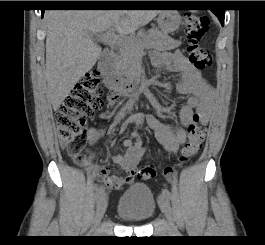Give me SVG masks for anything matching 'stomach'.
Segmentation results:
<instances>
[{
  "label": "stomach",
  "instance_id": "stomach-1",
  "mask_svg": "<svg viewBox=\"0 0 265 245\" xmlns=\"http://www.w3.org/2000/svg\"><path fill=\"white\" fill-rule=\"evenodd\" d=\"M158 27L164 34L172 33L181 24V16L177 11H162L157 19Z\"/></svg>",
  "mask_w": 265,
  "mask_h": 245
}]
</instances>
